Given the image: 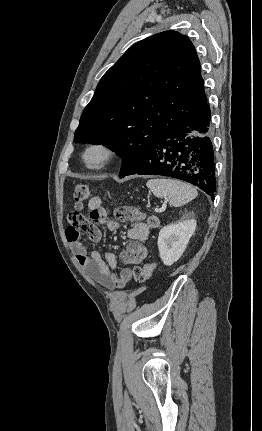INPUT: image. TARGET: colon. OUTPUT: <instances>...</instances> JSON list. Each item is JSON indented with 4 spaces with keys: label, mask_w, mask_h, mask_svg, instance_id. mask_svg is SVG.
Instances as JSON below:
<instances>
[{
    "label": "colon",
    "mask_w": 262,
    "mask_h": 431,
    "mask_svg": "<svg viewBox=\"0 0 262 431\" xmlns=\"http://www.w3.org/2000/svg\"><path fill=\"white\" fill-rule=\"evenodd\" d=\"M90 187L86 183L77 184L73 191V198L75 206L82 209L86 202L90 199ZM81 219L79 212H72L69 214L68 220L72 224H76ZM155 272V265L152 262H145L135 267L133 271V280L137 283H145L148 281Z\"/></svg>",
    "instance_id": "5ec220e1"
}]
</instances>
